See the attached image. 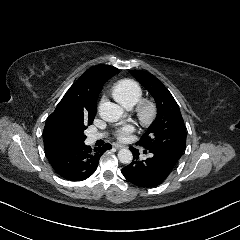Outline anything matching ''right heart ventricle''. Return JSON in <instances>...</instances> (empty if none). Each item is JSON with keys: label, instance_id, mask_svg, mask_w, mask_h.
<instances>
[{"label": "right heart ventricle", "instance_id": "right-heart-ventricle-1", "mask_svg": "<svg viewBox=\"0 0 240 240\" xmlns=\"http://www.w3.org/2000/svg\"><path fill=\"white\" fill-rule=\"evenodd\" d=\"M112 95L121 106L130 109L140 101L142 88L133 80H124L112 88Z\"/></svg>", "mask_w": 240, "mask_h": 240}]
</instances>
